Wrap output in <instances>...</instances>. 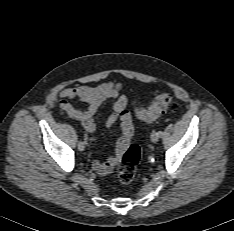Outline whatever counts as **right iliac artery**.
<instances>
[{
  "mask_svg": "<svg viewBox=\"0 0 234 231\" xmlns=\"http://www.w3.org/2000/svg\"><path fill=\"white\" fill-rule=\"evenodd\" d=\"M86 142H87V135H84V143H86Z\"/></svg>",
  "mask_w": 234,
  "mask_h": 231,
  "instance_id": "right-iliac-artery-1",
  "label": "right iliac artery"
}]
</instances>
